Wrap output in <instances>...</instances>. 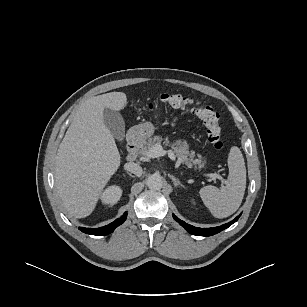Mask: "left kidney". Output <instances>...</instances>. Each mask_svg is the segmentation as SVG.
Returning <instances> with one entry per match:
<instances>
[{"instance_id": "1", "label": "left kidney", "mask_w": 307, "mask_h": 307, "mask_svg": "<svg viewBox=\"0 0 307 307\" xmlns=\"http://www.w3.org/2000/svg\"><path fill=\"white\" fill-rule=\"evenodd\" d=\"M191 202H192L193 204H195V201H194L193 199L191 200Z\"/></svg>"}]
</instances>
